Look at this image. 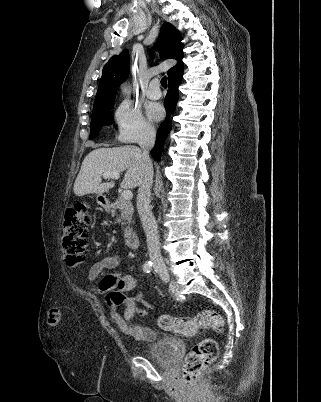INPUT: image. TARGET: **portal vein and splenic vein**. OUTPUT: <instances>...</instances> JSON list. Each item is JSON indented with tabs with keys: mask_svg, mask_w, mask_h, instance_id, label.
<instances>
[{
	"mask_svg": "<svg viewBox=\"0 0 321 402\" xmlns=\"http://www.w3.org/2000/svg\"><path fill=\"white\" fill-rule=\"evenodd\" d=\"M120 177V175H119V173L118 172H106V173H103V178L104 179H109V178H111V179H118ZM121 196H122V198L124 199V200H130V199H132V197H133V193H132V191L131 190H124L123 192H122V194H121Z\"/></svg>",
	"mask_w": 321,
	"mask_h": 402,
	"instance_id": "portal-vein-and-splenic-vein-1",
	"label": "portal vein and splenic vein"
}]
</instances>
